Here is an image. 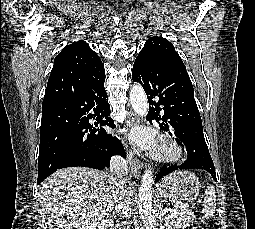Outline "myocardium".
Instances as JSON below:
<instances>
[{
  "mask_svg": "<svg viewBox=\"0 0 255 229\" xmlns=\"http://www.w3.org/2000/svg\"><path fill=\"white\" fill-rule=\"evenodd\" d=\"M182 155V148L175 141L168 138L162 139L153 153L156 160L163 162L178 161Z\"/></svg>",
  "mask_w": 255,
  "mask_h": 229,
  "instance_id": "myocardium-1",
  "label": "myocardium"
}]
</instances>
